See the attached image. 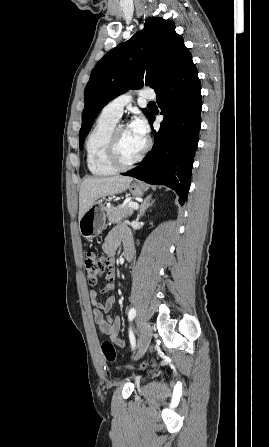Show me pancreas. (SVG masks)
Wrapping results in <instances>:
<instances>
[{"instance_id": "pancreas-1", "label": "pancreas", "mask_w": 269, "mask_h": 447, "mask_svg": "<svg viewBox=\"0 0 269 447\" xmlns=\"http://www.w3.org/2000/svg\"><path fill=\"white\" fill-rule=\"evenodd\" d=\"M121 206H110V208H104L106 212V216L111 222V224H118L120 220H124V218H128V216H132L133 214V208H129L128 204L122 208V210H119Z\"/></svg>"}]
</instances>
